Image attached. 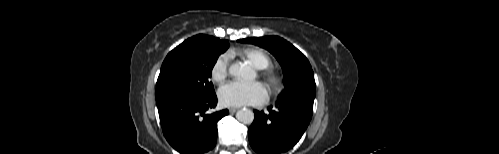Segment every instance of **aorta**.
Listing matches in <instances>:
<instances>
[{"mask_svg": "<svg viewBox=\"0 0 499 154\" xmlns=\"http://www.w3.org/2000/svg\"><path fill=\"white\" fill-rule=\"evenodd\" d=\"M230 75L244 80H251L255 77L252 68L244 63H234L229 68ZM236 118L244 124H251L254 120V113L250 109H241L236 113Z\"/></svg>", "mask_w": 499, "mask_h": 154, "instance_id": "obj_1", "label": "aorta"}]
</instances>
